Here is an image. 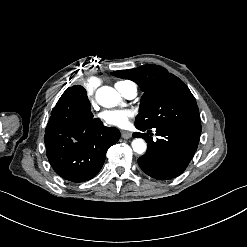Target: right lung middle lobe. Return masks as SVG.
Returning <instances> with one entry per match:
<instances>
[{"label": "right lung middle lobe", "instance_id": "right-lung-middle-lobe-1", "mask_svg": "<svg viewBox=\"0 0 247 247\" xmlns=\"http://www.w3.org/2000/svg\"><path fill=\"white\" fill-rule=\"evenodd\" d=\"M62 97L68 98L76 105L90 111L91 104L88 100L86 90L79 85L69 87L62 95Z\"/></svg>", "mask_w": 247, "mask_h": 247}]
</instances>
